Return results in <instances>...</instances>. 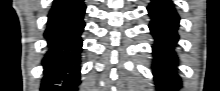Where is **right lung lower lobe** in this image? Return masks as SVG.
Listing matches in <instances>:
<instances>
[{
	"label": "right lung lower lobe",
	"instance_id": "right-lung-lower-lobe-1",
	"mask_svg": "<svg viewBox=\"0 0 220 91\" xmlns=\"http://www.w3.org/2000/svg\"><path fill=\"white\" fill-rule=\"evenodd\" d=\"M83 0H55L44 36L47 53L42 61V91H76L80 84L81 33L85 13Z\"/></svg>",
	"mask_w": 220,
	"mask_h": 91
}]
</instances>
